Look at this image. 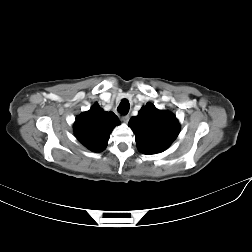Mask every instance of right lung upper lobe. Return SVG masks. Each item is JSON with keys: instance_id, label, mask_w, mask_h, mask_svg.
Listing matches in <instances>:
<instances>
[{"instance_id": "right-lung-upper-lobe-1", "label": "right lung upper lobe", "mask_w": 252, "mask_h": 252, "mask_svg": "<svg viewBox=\"0 0 252 252\" xmlns=\"http://www.w3.org/2000/svg\"><path fill=\"white\" fill-rule=\"evenodd\" d=\"M119 124L113 112H105L95 103L76 118L74 131L77 139L89 150L101 152L107 146L111 131Z\"/></svg>"}]
</instances>
